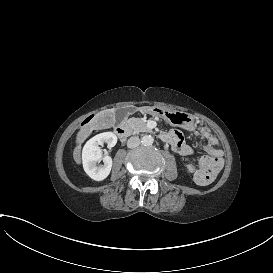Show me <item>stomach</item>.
<instances>
[{
  "label": "stomach",
  "instance_id": "0dacf381",
  "mask_svg": "<svg viewBox=\"0 0 273 273\" xmlns=\"http://www.w3.org/2000/svg\"><path fill=\"white\" fill-rule=\"evenodd\" d=\"M141 111L144 114L161 118L172 127H179L188 132L196 130V117L190 113L179 110H169L162 106L142 107Z\"/></svg>",
  "mask_w": 273,
  "mask_h": 273
}]
</instances>
